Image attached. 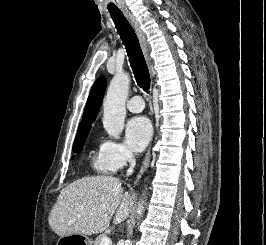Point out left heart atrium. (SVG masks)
<instances>
[{
  "mask_svg": "<svg viewBox=\"0 0 266 245\" xmlns=\"http://www.w3.org/2000/svg\"><path fill=\"white\" fill-rule=\"evenodd\" d=\"M152 135L150 122L145 117H135L125 126V139L128 146L135 152L142 151Z\"/></svg>",
  "mask_w": 266,
  "mask_h": 245,
  "instance_id": "left-heart-atrium-1",
  "label": "left heart atrium"
}]
</instances>
